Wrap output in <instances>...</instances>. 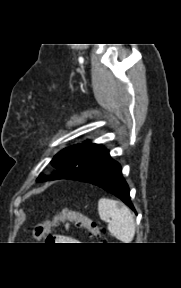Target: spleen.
I'll list each match as a JSON object with an SVG mask.
<instances>
[{"label":"spleen","mask_w":181,"mask_h":288,"mask_svg":"<svg viewBox=\"0 0 181 288\" xmlns=\"http://www.w3.org/2000/svg\"><path fill=\"white\" fill-rule=\"evenodd\" d=\"M100 218L108 222L110 233L123 243H130L135 235V222L129 208L123 203L101 198L98 201Z\"/></svg>","instance_id":"3e777b00"}]
</instances>
